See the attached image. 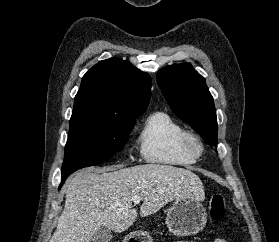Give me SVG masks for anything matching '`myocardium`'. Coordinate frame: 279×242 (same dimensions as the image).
Listing matches in <instances>:
<instances>
[{
	"instance_id": "f54148a6",
	"label": "myocardium",
	"mask_w": 279,
	"mask_h": 242,
	"mask_svg": "<svg viewBox=\"0 0 279 242\" xmlns=\"http://www.w3.org/2000/svg\"><path fill=\"white\" fill-rule=\"evenodd\" d=\"M182 144L185 150L197 157L202 154L204 149L201 139L196 134L189 131H184Z\"/></svg>"
}]
</instances>
